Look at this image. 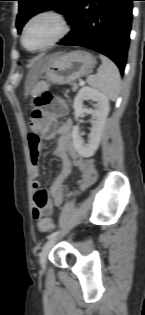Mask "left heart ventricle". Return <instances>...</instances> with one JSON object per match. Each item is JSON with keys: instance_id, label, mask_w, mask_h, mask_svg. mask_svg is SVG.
Listing matches in <instances>:
<instances>
[{"instance_id": "left-heart-ventricle-1", "label": "left heart ventricle", "mask_w": 145, "mask_h": 315, "mask_svg": "<svg viewBox=\"0 0 145 315\" xmlns=\"http://www.w3.org/2000/svg\"><path fill=\"white\" fill-rule=\"evenodd\" d=\"M57 32L58 26L54 20L39 18L33 21L26 31V45L30 48L39 47L52 39Z\"/></svg>"}]
</instances>
